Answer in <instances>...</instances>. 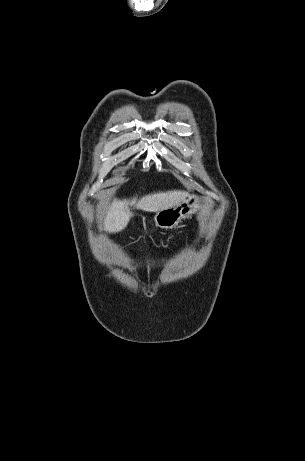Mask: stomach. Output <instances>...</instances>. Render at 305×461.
Here are the masks:
<instances>
[{"label":"stomach","instance_id":"1","mask_svg":"<svg viewBox=\"0 0 305 461\" xmlns=\"http://www.w3.org/2000/svg\"><path fill=\"white\" fill-rule=\"evenodd\" d=\"M201 208V197L198 195H187L178 205L158 211L154 216L157 227L172 229L178 223L195 214Z\"/></svg>","mask_w":305,"mask_h":461}]
</instances>
